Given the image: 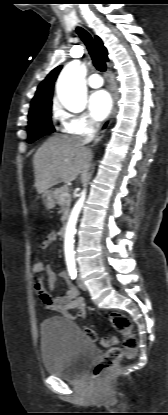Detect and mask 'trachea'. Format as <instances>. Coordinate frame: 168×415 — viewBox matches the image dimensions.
<instances>
[{"label":"trachea","mask_w":168,"mask_h":415,"mask_svg":"<svg viewBox=\"0 0 168 415\" xmlns=\"http://www.w3.org/2000/svg\"><path fill=\"white\" fill-rule=\"evenodd\" d=\"M76 31L84 44L86 45L89 54L93 60L94 66L100 72L106 71V63L104 58L102 57L97 45L95 44L92 36L83 28L77 27Z\"/></svg>","instance_id":"trachea-1"}]
</instances>
